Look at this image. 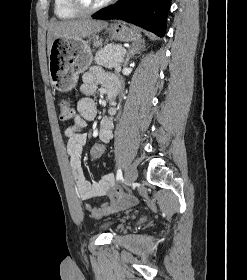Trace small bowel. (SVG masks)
<instances>
[{
  "mask_svg": "<svg viewBox=\"0 0 247 280\" xmlns=\"http://www.w3.org/2000/svg\"><path fill=\"white\" fill-rule=\"evenodd\" d=\"M99 85H104L108 92H115L118 88V80L111 74L104 72L99 67H93L83 75V81L80 86L82 97L78 100L76 106V115L73 123L65 130L67 142V154L70 160V168L73 180L75 182L78 194L84 201L96 197L108 196L112 198L110 204L100 207L87 205V210L93 218H100L103 215L126 209L137 203L133 196L124 195L122 191L115 188L114 176L108 173L102 176L97 182H90L85 178L81 164L82 148L86 143L87 136L84 130L88 123L92 121L97 114V105L93 96ZM115 108H111L110 115L101 119L98 129V138L108 144L113 137Z\"/></svg>",
  "mask_w": 247,
  "mask_h": 280,
  "instance_id": "obj_1",
  "label": "small bowel"
}]
</instances>
